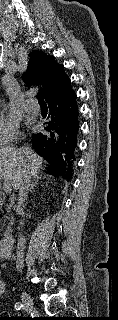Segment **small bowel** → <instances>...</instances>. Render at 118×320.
<instances>
[{"instance_id":"small-bowel-1","label":"small bowel","mask_w":118,"mask_h":320,"mask_svg":"<svg viewBox=\"0 0 118 320\" xmlns=\"http://www.w3.org/2000/svg\"><path fill=\"white\" fill-rule=\"evenodd\" d=\"M4 286L5 285H4V282L1 278V273H0V295L3 294V292H4Z\"/></svg>"}]
</instances>
